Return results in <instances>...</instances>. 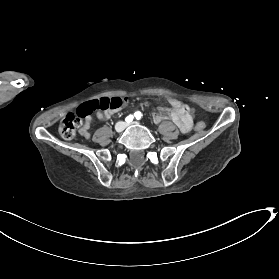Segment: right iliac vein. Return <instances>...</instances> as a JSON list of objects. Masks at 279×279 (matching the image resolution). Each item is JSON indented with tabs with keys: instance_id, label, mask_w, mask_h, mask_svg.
Listing matches in <instances>:
<instances>
[{
	"instance_id": "obj_1",
	"label": "right iliac vein",
	"mask_w": 279,
	"mask_h": 279,
	"mask_svg": "<svg viewBox=\"0 0 279 279\" xmlns=\"http://www.w3.org/2000/svg\"><path fill=\"white\" fill-rule=\"evenodd\" d=\"M125 128V124L123 122H120L116 125L115 129L118 133L122 132Z\"/></svg>"
}]
</instances>
